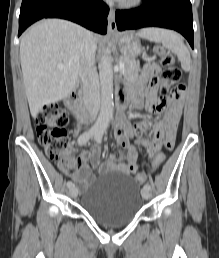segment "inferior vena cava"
I'll return each mask as SVG.
<instances>
[{
	"instance_id": "602c4592",
	"label": "inferior vena cava",
	"mask_w": 219,
	"mask_h": 258,
	"mask_svg": "<svg viewBox=\"0 0 219 258\" xmlns=\"http://www.w3.org/2000/svg\"><path fill=\"white\" fill-rule=\"evenodd\" d=\"M96 48L93 34L87 31L82 44L79 73L83 84L84 103L91 121L96 118L101 104L99 79L95 68Z\"/></svg>"
}]
</instances>
